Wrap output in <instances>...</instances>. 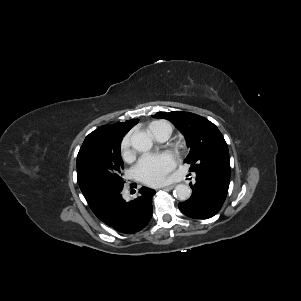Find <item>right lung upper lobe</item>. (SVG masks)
I'll return each mask as SVG.
<instances>
[{
    "mask_svg": "<svg viewBox=\"0 0 301 301\" xmlns=\"http://www.w3.org/2000/svg\"><path fill=\"white\" fill-rule=\"evenodd\" d=\"M137 123L138 119H132L112 125H104L90 133L86 139L93 136H101L109 140L121 141L123 136Z\"/></svg>",
    "mask_w": 301,
    "mask_h": 301,
    "instance_id": "cb5924a9",
    "label": "right lung upper lobe"
}]
</instances>
